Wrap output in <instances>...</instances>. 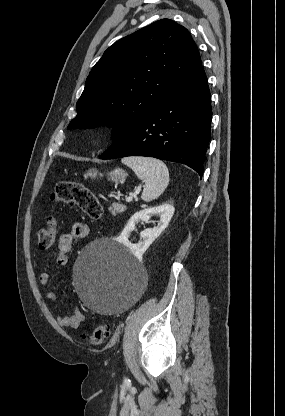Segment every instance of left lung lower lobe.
Segmentation results:
<instances>
[{
    "instance_id": "left-lung-lower-lobe-1",
    "label": "left lung lower lobe",
    "mask_w": 285,
    "mask_h": 416,
    "mask_svg": "<svg viewBox=\"0 0 285 416\" xmlns=\"http://www.w3.org/2000/svg\"><path fill=\"white\" fill-rule=\"evenodd\" d=\"M211 95L202 66L164 103L119 137L100 159L147 156L183 163L203 175Z\"/></svg>"
}]
</instances>
